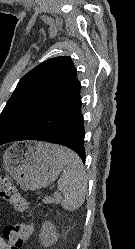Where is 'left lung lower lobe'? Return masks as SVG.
I'll return each instance as SVG.
<instances>
[{
	"label": "left lung lower lobe",
	"instance_id": "left-lung-lower-lobe-1",
	"mask_svg": "<svg viewBox=\"0 0 135 249\" xmlns=\"http://www.w3.org/2000/svg\"><path fill=\"white\" fill-rule=\"evenodd\" d=\"M80 89L81 86L41 109L21 131L0 145L21 140L47 141L71 148L85 162Z\"/></svg>",
	"mask_w": 135,
	"mask_h": 249
}]
</instances>
